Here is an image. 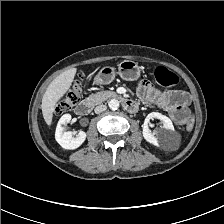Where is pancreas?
I'll return each mask as SVG.
<instances>
[{
    "mask_svg": "<svg viewBox=\"0 0 224 224\" xmlns=\"http://www.w3.org/2000/svg\"><path fill=\"white\" fill-rule=\"evenodd\" d=\"M103 96L110 97V96H116V94L114 92H104V93L93 94L91 97L95 99L97 102H101L103 99Z\"/></svg>",
    "mask_w": 224,
    "mask_h": 224,
    "instance_id": "cf45deb5",
    "label": "pancreas"
}]
</instances>
